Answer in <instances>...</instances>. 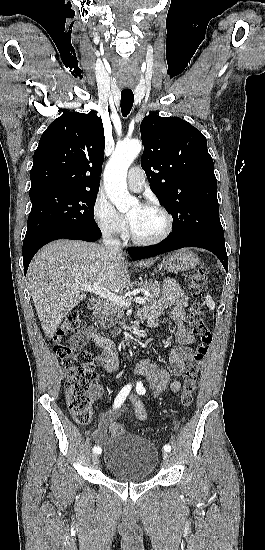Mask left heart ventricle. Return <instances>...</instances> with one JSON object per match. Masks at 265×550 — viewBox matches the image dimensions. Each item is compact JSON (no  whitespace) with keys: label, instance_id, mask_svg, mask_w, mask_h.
Here are the masks:
<instances>
[{"label":"left heart ventricle","instance_id":"b2bd125f","mask_svg":"<svg viewBox=\"0 0 265 550\" xmlns=\"http://www.w3.org/2000/svg\"><path fill=\"white\" fill-rule=\"evenodd\" d=\"M134 234L142 239H151L159 236L165 229L164 216L153 209L134 206L127 214Z\"/></svg>","mask_w":265,"mask_h":550}]
</instances>
